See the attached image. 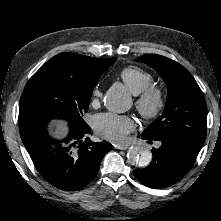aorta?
I'll use <instances>...</instances> for the list:
<instances>
[{
	"label": "aorta",
	"instance_id": "762f6f07",
	"mask_svg": "<svg viewBox=\"0 0 221 221\" xmlns=\"http://www.w3.org/2000/svg\"><path fill=\"white\" fill-rule=\"evenodd\" d=\"M131 96L123 86H113L105 94L104 104L112 112L123 113L131 107ZM127 159L133 166L144 168L152 161V153L146 148L132 146L127 153Z\"/></svg>",
	"mask_w": 221,
	"mask_h": 221
}]
</instances>
